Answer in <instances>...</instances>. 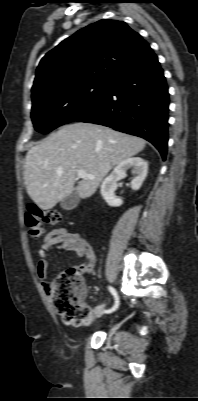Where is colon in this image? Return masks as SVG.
I'll return each instance as SVG.
<instances>
[{
	"instance_id": "1",
	"label": "colon",
	"mask_w": 198,
	"mask_h": 401,
	"mask_svg": "<svg viewBox=\"0 0 198 401\" xmlns=\"http://www.w3.org/2000/svg\"><path fill=\"white\" fill-rule=\"evenodd\" d=\"M24 221L30 236L37 239L44 233L43 223L57 225L62 221V215L56 211H44L31 204L25 212ZM49 294L54 308L65 324H90L92 312L84 305L85 288L81 269L72 267L62 272L50 285Z\"/></svg>"
}]
</instances>
